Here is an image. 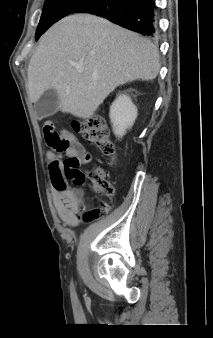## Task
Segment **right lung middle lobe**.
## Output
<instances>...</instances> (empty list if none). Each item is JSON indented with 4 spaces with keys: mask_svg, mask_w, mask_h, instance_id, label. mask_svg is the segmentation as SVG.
<instances>
[{
    "mask_svg": "<svg viewBox=\"0 0 213 338\" xmlns=\"http://www.w3.org/2000/svg\"><path fill=\"white\" fill-rule=\"evenodd\" d=\"M92 0H46L36 31V40L55 22Z\"/></svg>",
    "mask_w": 213,
    "mask_h": 338,
    "instance_id": "1",
    "label": "right lung middle lobe"
}]
</instances>
